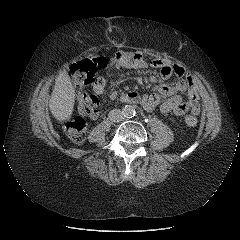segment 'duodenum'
Wrapping results in <instances>:
<instances>
[{"mask_svg":"<svg viewBox=\"0 0 240 240\" xmlns=\"http://www.w3.org/2000/svg\"><path fill=\"white\" fill-rule=\"evenodd\" d=\"M121 100L126 103H133V104L140 103V97L134 92L125 94L124 96L121 97Z\"/></svg>","mask_w":240,"mask_h":240,"instance_id":"duodenum-1","label":"duodenum"}]
</instances>
